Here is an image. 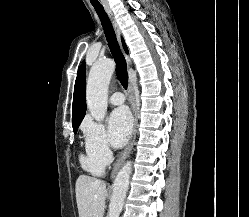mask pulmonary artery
<instances>
[{"label":"pulmonary artery","instance_id":"e3ab8cb5","mask_svg":"<svg viewBox=\"0 0 249 217\" xmlns=\"http://www.w3.org/2000/svg\"><path fill=\"white\" fill-rule=\"evenodd\" d=\"M125 101V96L121 92H115L110 97V102L113 105H121Z\"/></svg>","mask_w":249,"mask_h":217}]
</instances>
